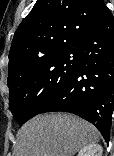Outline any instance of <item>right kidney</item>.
<instances>
[{"mask_svg":"<svg viewBox=\"0 0 114 156\" xmlns=\"http://www.w3.org/2000/svg\"><path fill=\"white\" fill-rule=\"evenodd\" d=\"M77 156H102V147L99 144H89L78 152Z\"/></svg>","mask_w":114,"mask_h":156,"instance_id":"obj_1","label":"right kidney"}]
</instances>
